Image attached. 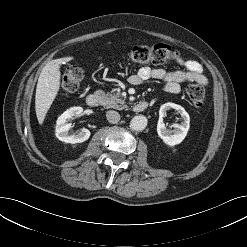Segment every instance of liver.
Returning <instances> with one entry per match:
<instances>
[{
    "mask_svg": "<svg viewBox=\"0 0 247 247\" xmlns=\"http://www.w3.org/2000/svg\"><path fill=\"white\" fill-rule=\"evenodd\" d=\"M74 57L55 59L46 64L38 79L35 95V111L39 124H42L45 116L56 98L60 89V66L73 60Z\"/></svg>",
    "mask_w": 247,
    "mask_h": 247,
    "instance_id": "1",
    "label": "liver"
}]
</instances>
